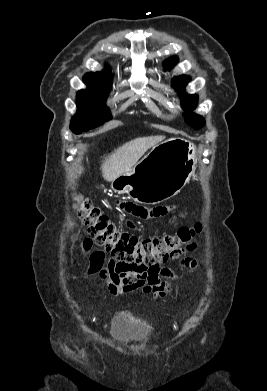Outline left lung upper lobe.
<instances>
[{"mask_svg": "<svg viewBox=\"0 0 267 391\" xmlns=\"http://www.w3.org/2000/svg\"><path fill=\"white\" fill-rule=\"evenodd\" d=\"M177 61H178V58L176 56H173V57L166 60L164 66L166 69H171L175 66ZM189 80H190V78L188 76L182 75V76L174 78L172 85H173V87H175L176 89H178L180 91L182 88H184L186 86V83ZM180 98H181L182 107L186 111H191V110L195 109L196 104H197V99H198L197 95H189V94L183 93ZM185 122L190 124L195 129H199L205 123L204 118L202 116L197 115V114L186 115Z\"/></svg>", "mask_w": 267, "mask_h": 391, "instance_id": "left-lung-upper-lobe-1", "label": "left lung upper lobe"}]
</instances>
